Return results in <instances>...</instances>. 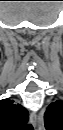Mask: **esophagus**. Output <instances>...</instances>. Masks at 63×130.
I'll return each mask as SVG.
<instances>
[{"label": "esophagus", "instance_id": "34e87169", "mask_svg": "<svg viewBox=\"0 0 63 130\" xmlns=\"http://www.w3.org/2000/svg\"><path fill=\"white\" fill-rule=\"evenodd\" d=\"M30 121L34 127L37 126V114L35 112L30 114Z\"/></svg>", "mask_w": 63, "mask_h": 130}]
</instances>
